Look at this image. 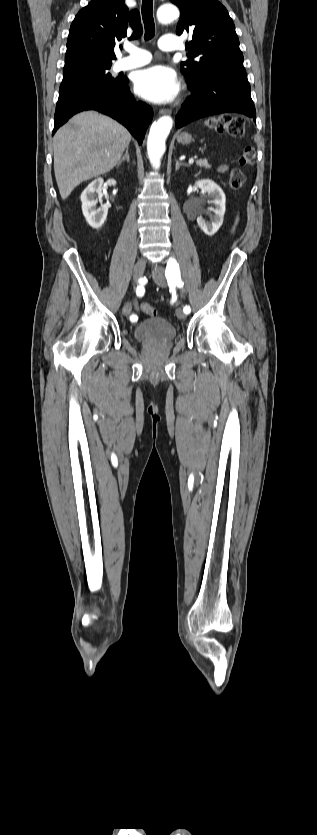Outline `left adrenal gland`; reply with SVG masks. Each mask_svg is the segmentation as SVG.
<instances>
[{
	"label": "left adrenal gland",
	"instance_id": "obj_1",
	"mask_svg": "<svg viewBox=\"0 0 317 835\" xmlns=\"http://www.w3.org/2000/svg\"><path fill=\"white\" fill-rule=\"evenodd\" d=\"M180 166H190V165L186 164V163H181V162L176 160L175 170H179Z\"/></svg>",
	"mask_w": 317,
	"mask_h": 835
}]
</instances>
